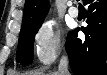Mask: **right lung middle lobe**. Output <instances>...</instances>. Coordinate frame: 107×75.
<instances>
[{"instance_id": "obj_1", "label": "right lung middle lobe", "mask_w": 107, "mask_h": 75, "mask_svg": "<svg viewBox=\"0 0 107 75\" xmlns=\"http://www.w3.org/2000/svg\"><path fill=\"white\" fill-rule=\"evenodd\" d=\"M42 23H24L19 36V45L16 59L21 65H28L33 61V43L35 34L38 32ZM71 32L68 34V36Z\"/></svg>"}]
</instances>
